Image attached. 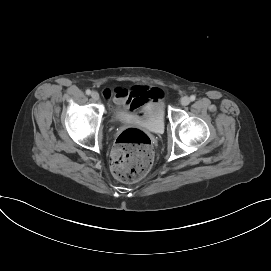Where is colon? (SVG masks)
<instances>
[{
  "mask_svg": "<svg viewBox=\"0 0 271 271\" xmlns=\"http://www.w3.org/2000/svg\"><path fill=\"white\" fill-rule=\"evenodd\" d=\"M153 158L148 134L138 128H128L116 139L110 157L111 172L120 181L135 182L149 172Z\"/></svg>",
  "mask_w": 271,
  "mask_h": 271,
  "instance_id": "5ec220e1",
  "label": "colon"
}]
</instances>
